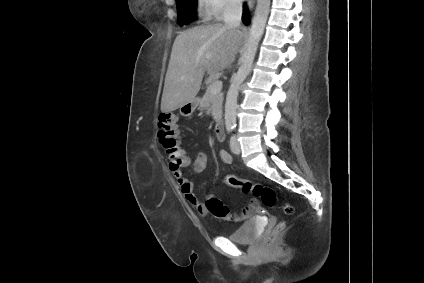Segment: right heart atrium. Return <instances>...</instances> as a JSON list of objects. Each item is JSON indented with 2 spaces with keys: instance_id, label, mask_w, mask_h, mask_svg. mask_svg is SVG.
<instances>
[{
  "instance_id": "d8ad5b80",
  "label": "right heart atrium",
  "mask_w": 424,
  "mask_h": 283,
  "mask_svg": "<svg viewBox=\"0 0 424 283\" xmlns=\"http://www.w3.org/2000/svg\"><path fill=\"white\" fill-rule=\"evenodd\" d=\"M201 13L206 17L222 18L236 11L241 0H197Z\"/></svg>"
}]
</instances>
